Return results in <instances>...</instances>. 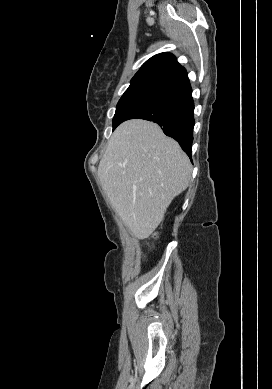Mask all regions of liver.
Returning <instances> with one entry per match:
<instances>
[{
  "mask_svg": "<svg viewBox=\"0 0 272 389\" xmlns=\"http://www.w3.org/2000/svg\"><path fill=\"white\" fill-rule=\"evenodd\" d=\"M191 172L179 144L140 119L117 127L98 167L112 207L138 239L159 226L172 200L188 187Z\"/></svg>",
  "mask_w": 272,
  "mask_h": 389,
  "instance_id": "obj_1",
  "label": "liver"
}]
</instances>
